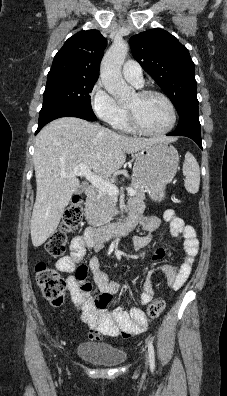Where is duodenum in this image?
Masks as SVG:
<instances>
[{
	"instance_id": "duodenum-1",
	"label": "duodenum",
	"mask_w": 227,
	"mask_h": 396,
	"mask_svg": "<svg viewBox=\"0 0 227 396\" xmlns=\"http://www.w3.org/2000/svg\"><path fill=\"white\" fill-rule=\"evenodd\" d=\"M96 196V189L92 186L86 190V200L92 202ZM135 222L128 218L124 221L111 223L103 227L91 230L88 237L93 245H101L102 243L121 235L128 234L134 227Z\"/></svg>"
}]
</instances>
